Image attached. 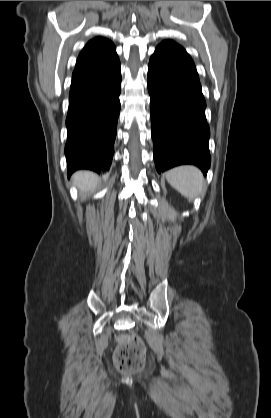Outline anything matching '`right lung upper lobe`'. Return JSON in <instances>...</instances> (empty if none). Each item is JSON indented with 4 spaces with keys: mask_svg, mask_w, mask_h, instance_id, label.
<instances>
[{
    "mask_svg": "<svg viewBox=\"0 0 271 418\" xmlns=\"http://www.w3.org/2000/svg\"><path fill=\"white\" fill-rule=\"evenodd\" d=\"M116 60V48L110 40L102 37L93 38L77 58L71 87L89 79Z\"/></svg>",
    "mask_w": 271,
    "mask_h": 418,
    "instance_id": "obj_1",
    "label": "right lung upper lobe"
}]
</instances>
